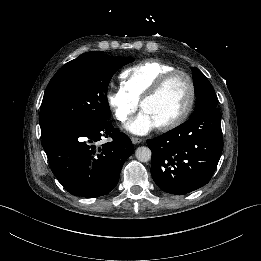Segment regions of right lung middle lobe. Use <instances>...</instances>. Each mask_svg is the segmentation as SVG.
<instances>
[{"label": "right lung middle lobe", "instance_id": "1", "mask_svg": "<svg viewBox=\"0 0 261 261\" xmlns=\"http://www.w3.org/2000/svg\"><path fill=\"white\" fill-rule=\"evenodd\" d=\"M132 58L87 52L65 64L50 80L40 108L41 136L57 126L108 120V84Z\"/></svg>", "mask_w": 261, "mask_h": 261}]
</instances>
